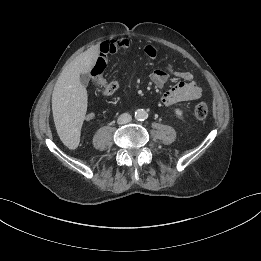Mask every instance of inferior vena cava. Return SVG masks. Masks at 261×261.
Instances as JSON below:
<instances>
[{
	"label": "inferior vena cava",
	"mask_w": 261,
	"mask_h": 261,
	"mask_svg": "<svg viewBox=\"0 0 261 261\" xmlns=\"http://www.w3.org/2000/svg\"><path fill=\"white\" fill-rule=\"evenodd\" d=\"M132 120V116L128 113H123L119 116L117 122L118 124H127Z\"/></svg>",
	"instance_id": "inferior-vena-cava-1"
}]
</instances>
